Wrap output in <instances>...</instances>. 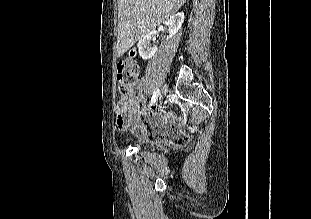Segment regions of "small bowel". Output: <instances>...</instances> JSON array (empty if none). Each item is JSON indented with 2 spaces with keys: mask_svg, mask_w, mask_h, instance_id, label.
Instances as JSON below:
<instances>
[{
  "mask_svg": "<svg viewBox=\"0 0 311 219\" xmlns=\"http://www.w3.org/2000/svg\"><path fill=\"white\" fill-rule=\"evenodd\" d=\"M142 85L136 81L132 90V98L127 103L119 102L116 107V126L119 130L125 131L135 124L133 130L137 137L145 139L150 136H166L168 140L174 141L176 136L172 132L163 133L165 124L175 125L177 120L173 115H160L153 113L149 117L141 116L143 106ZM150 129V131H149Z\"/></svg>",
  "mask_w": 311,
  "mask_h": 219,
  "instance_id": "1",
  "label": "small bowel"
}]
</instances>
